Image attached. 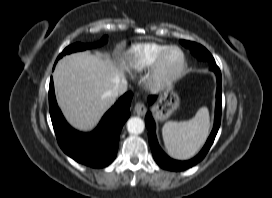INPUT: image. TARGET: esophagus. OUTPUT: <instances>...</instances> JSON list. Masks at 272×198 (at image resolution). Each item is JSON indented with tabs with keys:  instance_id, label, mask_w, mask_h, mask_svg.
Returning a JSON list of instances; mask_svg holds the SVG:
<instances>
[{
	"instance_id": "1",
	"label": "esophagus",
	"mask_w": 272,
	"mask_h": 198,
	"mask_svg": "<svg viewBox=\"0 0 272 198\" xmlns=\"http://www.w3.org/2000/svg\"><path fill=\"white\" fill-rule=\"evenodd\" d=\"M147 111L146 106L144 105V103L142 102H138L135 104L134 106V112L139 115V116H143Z\"/></svg>"
}]
</instances>
